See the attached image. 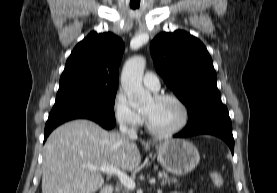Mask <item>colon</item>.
I'll return each mask as SVG.
<instances>
[{"label":"colon","instance_id":"obj_1","mask_svg":"<svg viewBox=\"0 0 277 193\" xmlns=\"http://www.w3.org/2000/svg\"><path fill=\"white\" fill-rule=\"evenodd\" d=\"M210 179H211L212 184L216 188H222L224 186V178H223V175L220 172L212 171L210 173Z\"/></svg>","mask_w":277,"mask_h":193}]
</instances>
